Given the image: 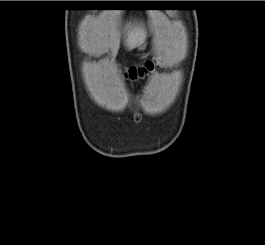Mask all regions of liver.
<instances>
[{
	"instance_id": "6515ba94",
	"label": "liver",
	"mask_w": 265,
	"mask_h": 245,
	"mask_svg": "<svg viewBox=\"0 0 265 245\" xmlns=\"http://www.w3.org/2000/svg\"><path fill=\"white\" fill-rule=\"evenodd\" d=\"M123 33L128 50L139 47L147 38V31L142 23H127ZM85 43L88 51L102 54L110 50L114 58L119 50L120 34L112 28H106L104 23L98 22L86 34Z\"/></svg>"
}]
</instances>
